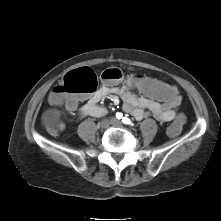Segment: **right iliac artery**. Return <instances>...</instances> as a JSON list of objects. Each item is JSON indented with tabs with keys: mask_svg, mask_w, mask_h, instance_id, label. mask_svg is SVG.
<instances>
[{
	"mask_svg": "<svg viewBox=\"0 0 221 221\" xmlns=\"http://www.w3.org/2000/svg\"><path fill=\"white\" fill-rule=\"evenodd\" d=\"M122 117H123V114H122V113H117V114H116V118H117V119H121Z\"/></svg>",
	"mask_w": 221,
	"mask_h": 221,
	"instance_id": "obj_1",
	"label": "right iliac artery"
}]
</instances>
